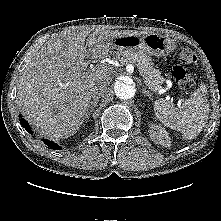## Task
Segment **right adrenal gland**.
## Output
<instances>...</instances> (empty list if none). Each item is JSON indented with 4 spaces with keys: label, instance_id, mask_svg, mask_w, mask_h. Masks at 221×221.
Returning <instances> with one entry per match:
<instances>
[{
    "label": "right adrenal gland",
    "instance_id": "1",
    "mask_svg": "<svg viewBox=\"0 0 221 221\" xmlns=\"http://www.w3.org/2000/svg\"><path fill=\"white\" fill-rule=\"evenodd\" d=\"M98 101H99V99L95 98L93 101L90 102V104L88 106L86 118H89V115L93 112L95 106L98 104Z\"/></svg>",
    "mask_w": 221,
    "mask_h": 221
}]
</instances>
